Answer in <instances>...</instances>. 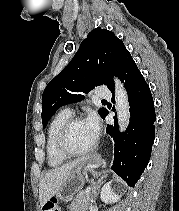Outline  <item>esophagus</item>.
I'll list each match as a JSON object with an SVG mask.
<instances>
[{
  "label": "esophagus",
  "mask_w": 179,
  "mask_h": 211,
  "mask_svg": "<svg viewBox=\"0 0 179 211\" xmlns=\"http://www.w3.org/2000/svg\"><path fill=\"white\" fill-rule=\"evenodd\" d=\"M94 155H95V156H98V155H99V152H98V151H95V152H94ZM101 162H102V161L99 159L95 165L98 167V166L100 165Z\"/></svg>",
  "instance_id": "esophagus-1"
}]
</instances>
